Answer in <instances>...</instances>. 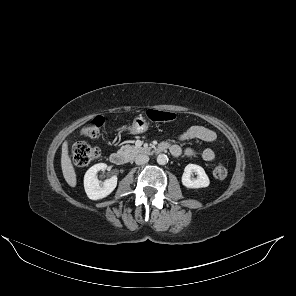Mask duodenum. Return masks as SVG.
I'll return each instance as SVG.
<instances>
[{"label":"duodenum","mask_w":296,"mask_h":296,"mask_svg":"<svg viewBox=\"0 0 296 296\" xmlns=\"http://www.w3.org/2000/svg\"><path fill=\"white\" fill-rule=\"evenodd\" d=\"M168 147L166 145H160L155 148H147L145 149V153L152 155L155 153H160L166 151ZM110 162L114 165H124L127 162V156L121 152H112L109 156Z\"/></svg>","instance_id":"obj_1"}]
</instances>
